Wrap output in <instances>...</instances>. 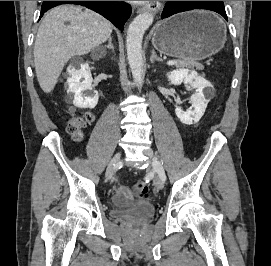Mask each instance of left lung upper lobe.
Instances as JSON below:
<instances>
[{
    "label": "left lung upper lobe",
    "mask_w": 271,
    "mask_h": 266,
    "mask_svg": "<svg viewBox=\"0 0 271 266\" xmlns=\"http://www.w3.org/2000/svg\"><path fill=\"white\" fill-rule=\"evenodd\" d=\"M213 2L224 5L223 1H213Z\"/></svg>",
    "instance_id": "1"
}]
</instances>
